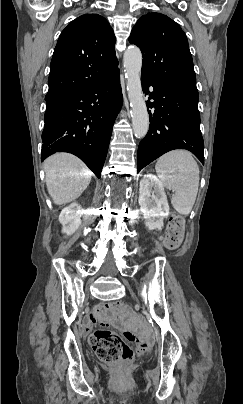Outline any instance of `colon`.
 <instances>
[{
  "label": "colon",
  "instance_id": "obj_1",
  "mask_svg": "<svg viewBox=\"0 0 243 404\" xmlns=\"http://www.w3.org/2000/svg\"><path fill=\"white\" fill-rule=\"evenodd\" d=\"M184 225L182 216L171 218L162 238V245L166 249L173 250L179 246L184 235ZM107 307L121 315L130 314L129 307L120 301L108 302ZM126 338L136 344L135 351L138 354L147 352L151 347L149 338L140 337L135 333H128ZM90 342L97 356L106 362H125L131 360L134 355V349L122 337L107 329L95 331Z\"/></svg>",
  "mask_w": 243,
  "mask_h": 404
}]
</instances>
